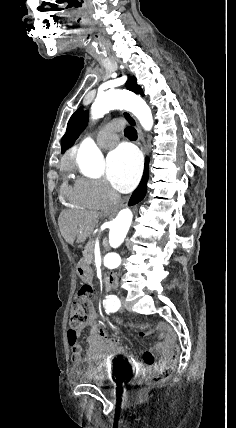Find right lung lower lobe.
<instances>
[{
  "label": "right lung lower lobe",
  "instance_id": "98d812e1",
  "mask_svg": "<svg viewBox=\"0 0 236 428\" xmlns=\"http://www.w3.org/2000/svg\"><path fill=\"white\" fill-rule=\"evenodd\" d=\"M148 163H149V160L146 159L145 169H144L142 180H141L139 186L137 187V189L133 192V195L129 201L130 206L140 202L146 194L147 181H148Z\"/></svg>",
  "mask_w": 236,
  "mask_h": 428
}]
</instances>
